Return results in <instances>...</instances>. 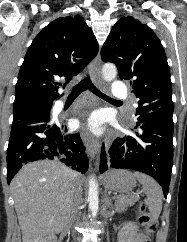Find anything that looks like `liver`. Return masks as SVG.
Returning a JSON list of instances; mask_svg holds the SVG:
<instances>
[{
  "label": "liver",
  "instance_id": "liver-1",
  "mask_svg": "<svg viewBox=\"0 0 187 242\" xmlns=\"http://www.w3.org/2000/svg\"><path fill=\"white\" fill-rule=\"evenodd\" d=\"M73 172L57 160L29 163L11 182L23 242H43L60 233L71 215ZM75 180L82 187L84 178Z\"/></svg>",
  "mask_w": 187,
  "mask_h": 242
}]
</instances>
